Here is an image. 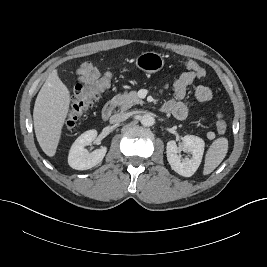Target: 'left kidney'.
Here are the masks:
<instances>
[{"label":"left kidney","mask_w":267,"mask_h":267,"mask_svg":"<svg viewBox=\"0 0 267 267\" xmlns=\"http://www.w3.org/2000/svg\"><path fill=\"white\" fill-rule=\"evenodd\" d=\"M184 148L192 155L191 158L182 159L179 148L174 140L167 142V160L171 168L181 176H192L201 164L205 143L203 139L194 135H186L182 139Z\"/></svg>","instance_id":"5707ae66"}]
</instances>
